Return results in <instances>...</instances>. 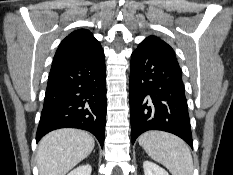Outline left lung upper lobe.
<instances>
[{"label":"left lung upper lobe","instance_id":"5c2ea615","mask_svg":"<svg viewBox=\"0 0 233 175\" xmlns=\"http://www.w3.org/2000/svg\"><path fill=\"white\" fill-rule=\"evenodd\" d=\"M140 44L146 45L155 52L161 54L162 56L178 63L173 49L159 37L149 36L145 40H143Z\"/></svg>","mask_w":233,"mask_h":175}]
</instances>
